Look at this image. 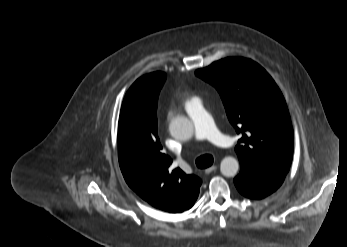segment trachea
<instances>
[{
  "instance_id": "3493384b",
  "label": "trachea",
  "mask_w": 347,
  "mask_h": 247,
  "mask_svg": "<svg viewBox=\"0 0 347 247\" xmlns=\"http://www.w3.org/2000/svg\"><path fill=\"white\" fill-rule=\"evenodd\" d=\"M196 165L198 168H207L213 164V156L212 155H203L196 159Z\"/></svg>"
}]
</instances>
